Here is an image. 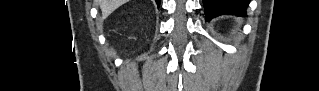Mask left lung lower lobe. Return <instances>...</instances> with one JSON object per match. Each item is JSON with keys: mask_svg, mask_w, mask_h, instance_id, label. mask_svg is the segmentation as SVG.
<instances>
[{"mask_svg": "<svg viewBox=\"0 0 319 91\" xmlns=\"http://www.w3.org/2000/svg\"><path fill=\"white\" fill-rule=\"evenodd\" d=\"M203 4L206 20L209 21L223 14L245 15L249 0H203Z\"/></svg>", "mask_w": 319, "mask_h": 91, "instance_id": "1", "label": "left lung lower lobe"}]
</instances>
